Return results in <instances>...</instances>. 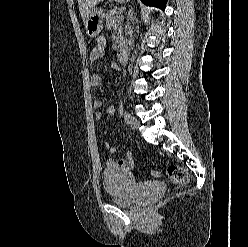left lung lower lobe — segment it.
I'll list each match as a JSON object with an SVG mask.
<instances>
[{"mask_svg": "<svg viewBox=\"0 0 248 247\" xmlns=\"http://www.w3.org/2000/svg\"><path fill=\"white\" fill-rule=\"evenodd\" d=\"M147 6H155L162 10L165 9L167 0H141Z\"/></svg>", "mask_w": 248, "mask_h": 247, "instance_id": "1", "label": "left lung lower lobe"}]
</instances>
